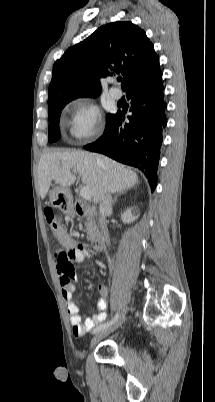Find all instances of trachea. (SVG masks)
Listing matches in <instances>:
<instances>
[{
    "label": "trachea",
    "mask_w": 215,
    "mask_h": 402,
    "mask_svg": "<svg viewBox=\"0 0 215 402\" xmlns=\"http://www.w3.org/2000/svg\"><path fill=\"white\" fill-rule=\"evenodd\" d=\"M122 80V78H118V81H121Z\"/></svg>",
    "instance_id": "3493384b"
}]
</instances>
